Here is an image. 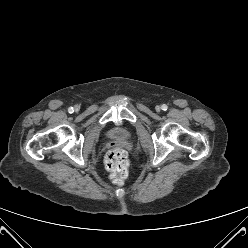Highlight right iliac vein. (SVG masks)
<instances>
[{"label": "right iliac vein", "mask_w": 248, "mask_h": 248, "mask_svg": "<svg viewBox=\"0 0 248 248\" xmlns=\"http://www.w3.org/2000/svg\"><path fill=\"white\" fill-rule=\"evenodd\" d=\"M75 110L78 111V107L77 106L75 107Z\"/></svg>", "instance_id": "1"}]
</instances>
